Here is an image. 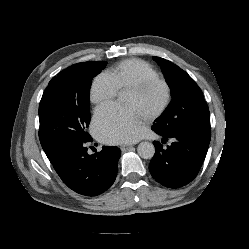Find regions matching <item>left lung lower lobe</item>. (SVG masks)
Returning <instances> with one entry per match:
<instances>
[{
	"label": "left lung lower lobe",
	"instance_id": "obj_1",
	"mask_svg": "<svg viewBox=\"0 0 249 249\" xmlns=\"http://www.w3.org/2000/svg\"><path fill=\"white\" fill-rule=\"evenodd\" d=\"M153 130L163 137L162 143L168 138L175 140L167 148H163L160 142H153L155 154L149 165L153 178L169 188H179L191 182L206 157L211 133L165 136Z\"/></svg>",
	"mask_w": 249,
	"mask_h": 249
}]
</instances>
